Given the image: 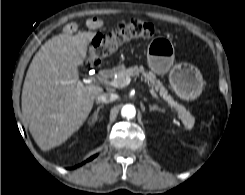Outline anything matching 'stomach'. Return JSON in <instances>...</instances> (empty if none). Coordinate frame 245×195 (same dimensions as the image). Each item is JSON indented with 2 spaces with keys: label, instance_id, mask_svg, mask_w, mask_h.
Instances as JSON below:
<instances>
[{
  "label": "stomach",
  "instance_id": "0dacf381",
  "mask_svg": "<svg viewBox=\"0 0 245 195\" xmlns=\"http://www.w3.org/2000/svg\"><path fill=\"white\" fill-rule=\"evenodd\" d=\"M147 59L153 72H169L170 85L179 98L189 101L201 94L204 82L200 71L188 63L174 65V47L169 40H152L148 45Z\"/></svg>",
  "mask_w": 245,
  "mask_h": 195
}]
</instances>
